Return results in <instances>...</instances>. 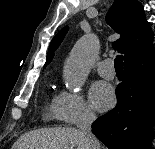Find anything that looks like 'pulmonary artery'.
<instances>
[{"label": "pulmonary artery", "instance_id": "1", "mask_svg": "<svg viewBox=\"0 0 155 149\" xmlns=\"http://www.w3.org/2000/svg\"><path fill=\"white\" fill-rule=\"evenodd\" d=\"M97 70L101 76L107 79H113L115 77L113 61L111 59H106L100 62L97 65Z\"/></svg>", "mask_w": 155, "mask_h": 149}]
</instances>
